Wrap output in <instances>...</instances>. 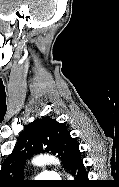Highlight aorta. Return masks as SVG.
Listing matches in <instances>:
<instances>
[{"mask_svg":"<svg viewBox=\"0 0 119 187\" xmlns=\"http://www.w3.org/2000/svg\"><path fill=\"white\" fill-rule=\"evenodd\" d=\"M33 164L37 166H44L46 164H58L60 165V162L55 157L49 156V155H39L36 158L33 159ZM72 178L71 176L69 177Z\"/></svg>","mask_w":119,"mask_h":187,"instance_id":"762f6f07","label":"aorta"}]
</instances>
